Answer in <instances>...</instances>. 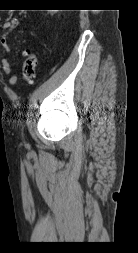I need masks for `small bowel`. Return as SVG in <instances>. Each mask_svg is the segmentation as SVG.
<instances>
[{"mask_svg":"<svg viewBox=\"0 0 138 253\" xmlns=\"http://www.w3.org/2000/svg\"><path fill=\"white\" fill-rule=\"evenodd\" d=\"M19 18L15 17L9 21H6L2 24V28L4 30L3 35L0 37V44L6 52H10L11 48L8 42V37L11 32L19 25ZM27 51H24V55ZM1 67L4 73L10 75L8 83L10 85H15L17 82V75L13 73V69L9 63L7 58H2L1 60Z\"/></svg>","mask_w":138,"mask_h":253,"instance_id":"small-bowel-1","label":"small bowel"}]
</instances>
